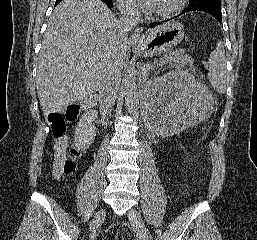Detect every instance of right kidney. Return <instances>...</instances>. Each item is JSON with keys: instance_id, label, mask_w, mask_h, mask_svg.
<instances>
[{"instance_id": "ca27d5eb", "label": "right kidney", "mask_w": 257, "mask_h": 240, "mask_svg": "<svg viewBox=\"0 0 257 240\" xmlns=\"http://www.w3.org/2000/svg\"><path fill=\"white\" fill-rule=\"evenodd\" d=\"M93 116L84 114L75 130V146L78 149H87L94 141L96 129L92 125Z\"/></svg>"}]
</instances>
